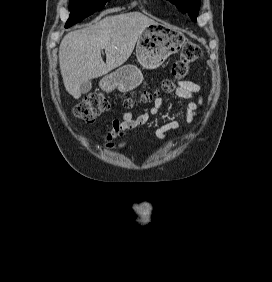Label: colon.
I'll return each mask as SVG.
<instances>
[{
    "label": "colon",
    "instance_id": "5ec220e1",
    "mask_svg": "<svg viewBox=\"0 0 272 282\" xmlns=\"http://www.w3.org/2000/svg\"><path fill=\"white\" fill-rule=\"evenodd\" d=\"M199 45L189 40L182 44L178 60L173 64L172 76L161 82L154 92L144 94L139 102L150 103L160 92L172 93L189 74L190 64L197 62L202 57ZM128 106H133L132 101H127ZM110 108V101L101 93H92L85 97L74 109L75 115L87 122L94 120L101 113Z\"/></svg>",
    "mask_w": 272,
    "mask_h": 282
}]
</instances>
